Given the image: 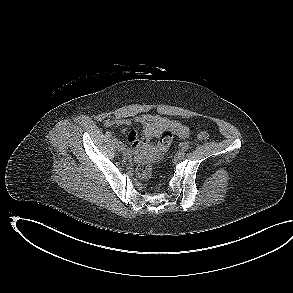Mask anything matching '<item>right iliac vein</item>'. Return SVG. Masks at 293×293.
Masks as SVG:
<instances>
[{
  "mask_svg": "<svg viewBox=\"0 0 293 293\" xmlns=\"http://www.w3.org/2000/svg\"><path fill=\"white\" fill-rule=\"evenodd\" d=\"M115 147L117 148L118 151H123L124 146L120 141L115 142Z\"/></svg>",
  "mask_w": 293,
  "mask_h": 293,
  "instance_id": "right-iliac-vein-1",
  "label": "right iliac vein"
}]
</instances>
